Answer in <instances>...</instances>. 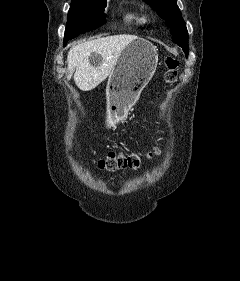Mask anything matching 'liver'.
Here are the masks:
<instances>
[{
	"instance_id": "1",
	"label": "liver",
	"mask_w": 240,
	"mask_h": 281,
	"mask_svg": "<svg viewBox=\"0 0 240 281\" xmlns=\"http://www.w3.org/2000/svg\"><path fill=\"white\" fill-rule=\"evenodd\" d=\"M136 35L120 34L89 40L74 45L68 52V80L73 72L74 82L82 91H91L102 83L114 70L124 48ZM95 53L101 57L98 65L90 60Z\"/></svg>"
}]
</instances>
